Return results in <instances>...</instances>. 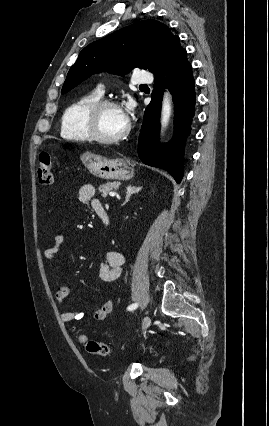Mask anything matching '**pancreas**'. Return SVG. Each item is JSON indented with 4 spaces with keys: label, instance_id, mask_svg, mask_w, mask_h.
Wrapping results in <instances>:
<instances>
[{
    "label": "pancreas",
    "instance_id": "1",
    "mask_svg": "<svg viewBox=\"0 0 269 426\" xmlns=\"http://www.w3.org/2000/svg\"><path fill=\"white\" fill-rule=\"evenodd\" d=\"M119 187L118 182H106L99 186L98 190L103 197H107L108 193L112 190H116Z\"/></svg>",
    "mask_w": 269,
    "mask_h": 426
}]
</instances>
